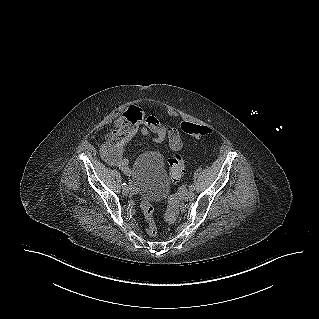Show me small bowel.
Returning <instances> with one entry per match:
<instances>
[{"label": "small bowel", "instance_id": "small-bowel-1", "mask_svg": "<svg viewBox=\"0 0 319 319\" xmlns=\"http://www.w3.org/2000/svg\"><path fill=\"white\" fill-rule=\"evenodd\" d=\"M137 131L158 142L168 140L171 149L175 151L182 147V138L177 129L164 124L155 115H147L142 108L132 106L102 125L101 136L105 140L101 145L103 160L128 174L130 170L124 148ZM181 135L185 134L181 133Z\"/></svg>", "mask_w": 319, "mask_h": 319}]
</instances>
